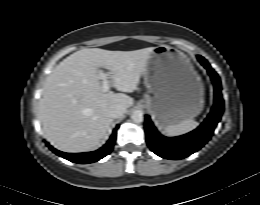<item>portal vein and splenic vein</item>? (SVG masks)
<instances>
[{
	"instance_id": "18ae733b",
	"label": "portal vein and splenic vein",
	"mask_w": 260,
	"mask_h": 205,
	"mask_svg": "<svg viewBox=\"0 0 260 205\" xmlns=\"http://www.w3.org/2000/svg\"><path fill=\"white\" fill-rule=\"evenodd\" d=\"M99 77L102 79V88L105 92L110 89L109 73L100 72Z\"/></svg>"
}]
</instances>
